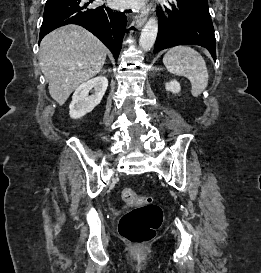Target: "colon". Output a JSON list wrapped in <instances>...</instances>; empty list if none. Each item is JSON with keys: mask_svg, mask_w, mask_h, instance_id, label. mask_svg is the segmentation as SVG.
Listing matches in <instances>:
<instances>
[{"mask_svg": "<svg viewBox=\"0 0 261 273\" xmlns=\"http://www.w3.org/2000/svg\"><path fill=\"white\" fill-rule=\"evenodd\" d=\"M121 198L135 208L125 213L119 222V234L127 242L143 245L149 242L161 226L163 213L150 196H140L131 187L121 190Z\"/></svg>", "mask_w": 261, "mask_h": 273, "instance_id": "colon-1", "label": "colon"}]
</instances>
